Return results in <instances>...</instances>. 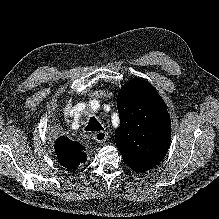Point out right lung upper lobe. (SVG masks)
I'll use <instances>...</instances> for the list:
<instances>
[{
  "label": "right lung upper lobe",
  "mask_w": 219,
  "mask_h": 219,
  "mask_svg": "<svg viewBox=\"0 0 219 219\" xmlns=\"http://www.w3.org/2000/svg\"><path fill=\"white\" fill-rule=\"evenodd\" d=\"M78 142H74L65 136L59 137L55 141V153L61 165L68 169H75L80 162L86 161V154Z\"/></svg>",
  "instance_id": "1"
}]
</instances>
